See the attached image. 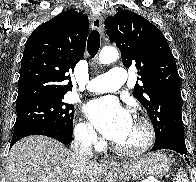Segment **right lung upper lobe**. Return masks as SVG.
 Wrapping results in <instances>:
<instances>
[{
	"mask_svg": "<svg viewBox=\"0 0 196 182\" xmlns=\"http://www.w3.org/2000/svg\"><path fill=\"white\" fill-rule=\"evenodd\" d=\"M88 17L67 10L38 26L25 44L16 105L72 90L68 72L85 51Z\"/></svg>",
	"mask_w": 196,
	"mask_h": 182,
	"instance_id": "right-lung-upper-lobe-1",
	"label": "right lung upper lobe"
}]
</instances>
